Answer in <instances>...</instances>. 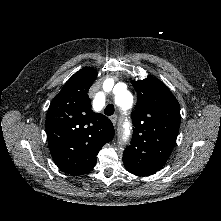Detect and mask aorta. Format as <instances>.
Instances as JSON below:
<instances>
[{"mask_svg":"<svg viewBox=\"0 0 221 221\" xmlns=\"http://www.w3.org/2000/svg\"><path fill=\"white\" fill-rule=\"evenodd\" d=\"M117 98H121L125 101V106H130L133 102V96L128 90H123L117 94Z\"/></svg>","mask_w":221,"mask_h":221,"instance_id":"obj_1","label":"aorta"}]
</instances>
